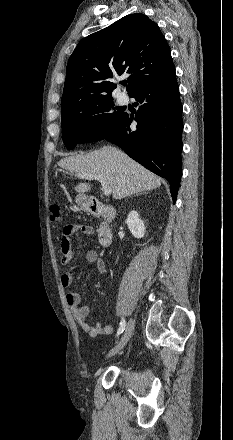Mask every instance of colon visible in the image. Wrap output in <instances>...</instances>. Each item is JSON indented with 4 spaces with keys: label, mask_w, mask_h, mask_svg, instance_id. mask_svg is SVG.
I'll return each instance as SVG.
<instances>
[{
    "label": "colon",
    "mask_w": 233,
    "mask_h": 440,
    "mask_svg": "<svg viewBox=\"0 0 233 440\" xmlns=\"http://www.w3.org/2000/svg\"><path fill=\"white\" fill-rule=\"evenodd\" d=\"M51 221L54 223H61L63 221V213L58 204H52L50 207Z\"/></svg>",
    "instance_id": "colon-1"
}]
</instances>
